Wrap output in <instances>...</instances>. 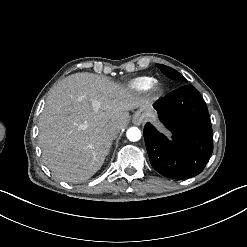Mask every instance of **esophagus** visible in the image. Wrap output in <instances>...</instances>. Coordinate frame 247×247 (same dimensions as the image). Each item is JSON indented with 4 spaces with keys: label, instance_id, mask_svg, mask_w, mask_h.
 Wrapping results in <instances>:
<instances>
[{
    "label": "esophagus",
    "instance_id": "1",
    "mask_svg": "<svg viewBox=\"0 0 247 247\" xmlns=\"http://www.w3.org/2000/svg\"><path fill=\"white\" fill-rule=\"evenodd\" d=\"M133 123L138 125L140 122H139V120L133 119Z\"/></svg>",
    "mask_w": 247,
    "mask_h": 247
}]
</instances>
